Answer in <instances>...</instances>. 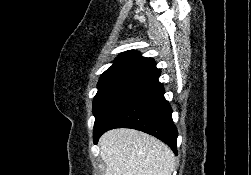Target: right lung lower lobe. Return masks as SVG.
<instances>
[{
	"mask_svg": "<svg viewBox=\"0 0 251 175\" xmlns=\"http://www.w3.org/2000/svg\"><path fill=\"white\" fill-rule=\"evenodd\" d=\"M159 77L137 81L122 92L108 107L98 129L93 132L94 143L113 128H133L165 142L177 154V128L172 120V108L164 98Z\"/></svg>",
	"mask_w": 251,
	"mask_h": 175,
	"instance_id": "98d812e1",
	"label": "right lung lower lobe"
}]
</instances>
